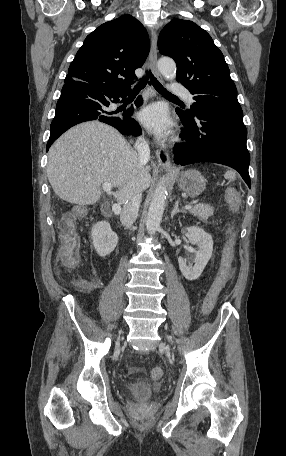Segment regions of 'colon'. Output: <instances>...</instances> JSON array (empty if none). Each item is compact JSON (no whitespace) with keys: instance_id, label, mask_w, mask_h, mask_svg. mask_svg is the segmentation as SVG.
I'll return each instance as SVG.
<instances>
[{"instance_id":"obj_1","label":"colon","mask_w":286,"mask_h":456,"mask_svg":"<svg viewBox=\"0 0 286 456\" xmlns=\"http://www.w3.org/2000/svg\"><path fill=\"white\" fill-rule=\"evenodd\" d=\"M226 198L232 209H236L238 207L239 194L234 188L226 189ZM79 246L80 240L76 232L73 219L65 221L62 233V245L59 253V261L64 269H73L78 265ZM232 261L233 239L231 237L223 253L218 277L203 299L202 312L204 314L211 312L216 304L219 292L234 275L235 268L232 265ZM74 283L82 289H87L92 286V283L88 279L84 278L76 279ZM163 374V368L160 366H156L151 370V378L154 381L160 380L163 377Z\"/></svg>"}]
</instances>
